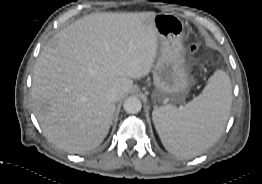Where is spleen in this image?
I'll return each instance as SVG.
<instances>
[{
	"label": "spleen",
	"mask_w": 262,
	"mask_h": 184,
	"mask_svg": "<svg viewBox=\"0 0 262 184\" xmlns=\"http://www.w3.org/2000/svg\"><path fill=\"white\" fill-rule=\"evenodd\" d=\"M232 105L230 77L216 70L203 92L182 109L157 107L152 113L165 149L180 158H192L210 148L221 136Z\"/></svg>",
	"instance_id": "1"
}]
</instances>
